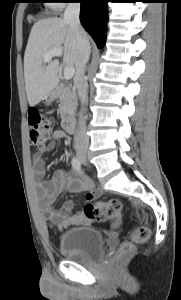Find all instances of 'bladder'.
Here are the masks:
<instances>
[{
  "label": "bladder",
  "instance_id": "1",
  "mask_svg": "<svg viewBox=\"0 0 181 300\" xmlns=\"http://www.w3.org/2000/svg\"><path fill=\"white\" fill-rule=\"evenodd\" d=\"M59 246L65 257L89 260L102 254L104 238L96 228L75 227L67 229L61 234Z\"/></svg>",
  "mask_w": 181,
  "mask_h": 300
}]
</instances>
